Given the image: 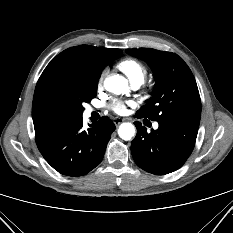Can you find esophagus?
I'll use <instances>...</instances> for the list:
<instances>
[{
  "mask_svg": "<svg viewBox=\"0 0 233 233\" xmlns=\"http://www.w3.org/2000/svg\"><path fill=\"white\" fill-rule=\"evenodd\" d=\"M124 121V119L120 118V117H115L113 118V122L116 126H118L119 124H121Z\"/></svg>",
  "mask_w": 233,
  "mask_h": 233,
  "instance_id": "1",
  "label": "esophagus"
}]
</instances>
